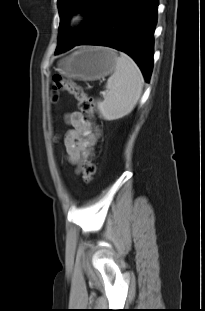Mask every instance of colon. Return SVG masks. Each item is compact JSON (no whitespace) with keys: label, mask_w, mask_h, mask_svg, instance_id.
<instances>
[{"label":"colon","mask_w":205,"mask_h":311,"mask_svg":"<svg viewBox=\"0 0 205 311\" xmlns=\"http://www.w3.org/2000/svg\"><path fill=\"white\" fill-rule=\"evenodd\" d=\"M54 88L57 91L66 92L72 95L77 101L80 111L85 116L88 122H91L94 116V102L93 98L88 96L83 88L71 81L62 79L60 77L54 78ZM96 172V165L94 163V155L88 154L83 164L82 177L86 183H89Z\"/></svg>","instance_id":"obj_1"}]
</instances>
